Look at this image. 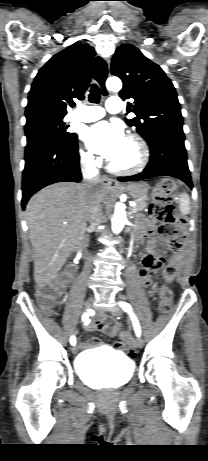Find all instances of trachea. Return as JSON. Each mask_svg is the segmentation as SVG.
<instances>
[{
	"label": "trachea",
	"instance_id": "obj_1",
	"mask_svg": "<svg viewBox=\"0 0 208 461\" xmlns=\"http://www.w3.org/2000/svg\"><path fill=\"white\" fill-rule=\"evenodd\" d=\"M94 76L98 80V82L102 85V82L106 76V72L104 71L103 62L101 61L100 58L96 59ZM89 101L91 103H99L100 101V90L96 84L91 85Z\"/></svg>",
	"mask_w": 208,
	"mask_h": 461
}]
</instances>
